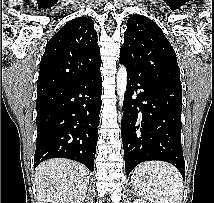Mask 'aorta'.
<instances>
[{"instance_id":"obj_1","label":"aorta","mask_w":214,"mask_h":203,"mask_svg":"<svg viewBox=\"0 0 214 203\" xmlns=\"http://www.w3.org/2000/svg\"><path fill=\"white\" fill-rule=\"evenodd\" d=\"M116 83H117V93L119 96V106L120 108H122L124 96L127 89V70L124 65H120L118 69Z\"/></svg>"}]
</instances>
